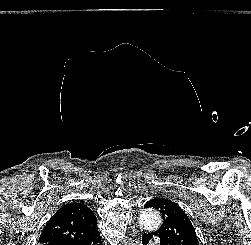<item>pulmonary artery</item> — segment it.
I'll list each match as a JSON object with an SVG mask.
<instances>
[{
	"label": "pulmonary artery",
	"mask_w": 251,
	"mask_h": 245,
	"mask_svg": "<svg viewBox=\"0 0 251 245\" xmlns=\"http://www.w3.org/2000/svg\"><path fill=\"white\" fill-rule=\"evenodd\" d=\"M152 245H158V243L157 242H153Z\"/></svg>",
	"instance_id": "pulmonary-artery-1"
}]
</instances>
